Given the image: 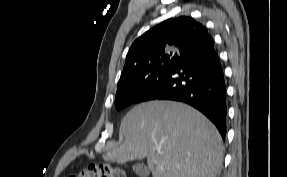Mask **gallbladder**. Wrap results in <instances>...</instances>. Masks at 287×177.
Masks as SVG:
<instances>
[{
	"mask_svg": "<svg viewBox=\"0 0 287 177\" xmlns=\"http://www.w3.org/2000/svg\"><path fill=\"white\" fill-rule=\"evenodd\" d=\"M132 169L139 176L149 175V169L142 163L135 164Z\"/></svg>",
	"mask_w": 287,
	"mask_h": 177,
	"instance_id": "gallbladder-1",
	"label": "gallbladder"
}]
</instances>
